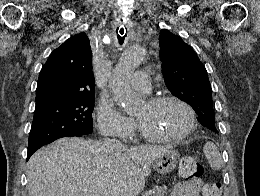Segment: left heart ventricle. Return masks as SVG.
Segmentation results:
<instances>
[{"instance_id": "1", "label": "left heart ventricle", "mask_w": 260, "mask_h": 196, "mask_svg": "<svg viewBox=\"0 0 260 196\" xmlns=\"http://www.w3.org/2000/svg\"><path fill=\"white\" fill-rule=\"evenodd\" d=\"M134 117L144 129L162 135L180 134L190 123L188 111L174 102L164 103L156 107H149L145 102ZM110 191L113 190H91V192Z\"/></svg>"}]
</instances>
